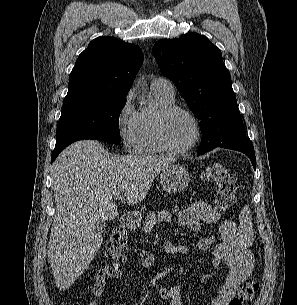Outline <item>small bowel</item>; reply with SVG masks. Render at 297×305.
<instances>
[{"label":"small bowel","mask_w":297,"mask_h":305,"mask_svg":"<svg viewBox=\"0 0 297 305\" xmlns=\"http://www.w3.org/2000/svg\"><path fill=\"white\" fill-rule=\"evenodd\" d=\"M203 223L216 224L220 241L216 243L215 236L200 239L193 248L174 244L168 241L163 243V250L167 254L189 253L193 250L205 252L210 258L213 268L225 263L228 267L224 283L211 305H230L239 286L250 276L254 265V257L247 242L239 233L237 226L230 220H222L220 214L209 204L195 202L177 213V224L180 233L187 230L200 231ZM139 262L143 267H151L154 263L153 255L141 252ZM121 276L119 267L102 269L92 287L94 299L88 305H100L108 279H117ZM159 296L168 301L169 305H182V288L178 285L171 288H160Z\"/></svg>","instance_id":"small-bowel-1"}]
</instances>
